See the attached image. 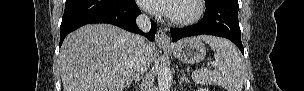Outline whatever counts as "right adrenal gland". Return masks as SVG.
<instances>
[{
    "mask_svg": "<svg viewBox=\"0 0 304 91\" xmlns=\"http://www.w3.org/2000/svg\"><path fill=\"white\" fill-rule=\"evenodd\" d=\"M140 81V78L138 75H134V77L132 78V80L127 84V87H130V85L132 84V82H135V84H137Z\"/></svg>",
    "mask_w": 304,
    "mask_h": 91,
    "instance_id": "1",
    "label": "right adrenal gland"
}]
</instances>
